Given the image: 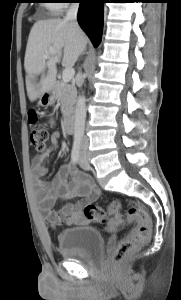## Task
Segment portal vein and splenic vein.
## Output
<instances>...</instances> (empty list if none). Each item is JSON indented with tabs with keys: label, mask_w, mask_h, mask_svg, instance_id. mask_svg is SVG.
<instances>
[{
	"label": "portal vein and splenic vein",
	"mask_w": 181,
	"mask_h": 300,
	"mask_svg": "<svg viewBox=\"0 0 181 300\" xmlns=\"http://www.w3.org/2000/svg\"><path fill=\"white\" fill-rule=\"evenodd\" d=\"M55 53H56L55 49H50L49 52H47L44 55V58L48 59L50 57V55H54ZM74 75H75V71L73 68H65L62 73V79L64 82L67 83V82L71 81V79L74 77Z\"/></svg>",
	"instance_id": "portal-vein-and-splenic-vein-1"
}]
</instances>
